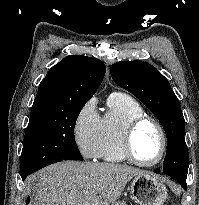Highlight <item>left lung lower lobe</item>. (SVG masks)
<instances>
[{
	"label": "left lung lower lobe",
	"instance_id": "0a47b994",
	"mask_svg": "<svg viewBox=\"0 0 199 205\" xmlns=\"http://www.w3.org/2000/svg\"><path fill=\"white\" fill-rule=\"evenodd\" d=\"M154 172H156L155 170H154ZM156 173H158V172H156ZM179 183H180V185L186 190L187 189V184H186V180H184V179H179V180H177Z\"/></svg>",
	"mask_w": 199,
	"mask_h": 205
}]
</instances>
